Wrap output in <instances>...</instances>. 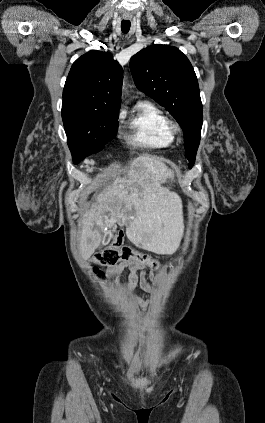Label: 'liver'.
<instances>
[{
    "label": "liver",
    "mask_w": 265,
    "mask_h": 423,
    "mask_svg": "<svg viewBox=\"0 0 265 423\" xmlns=\"http://www.w3.org/2000/svg\"><path fill=\"white\" fill-rule=\"evenodd\" d=\"M120 165L112 164L104 177L113 178L83 215L79 250L88 260L102 241L101 232L116 223L126 226L127 238L137 247L160 254H173L183 232L181 198L161 185L173 172L154 156L134 159L127 176L120 177ZM136 186L142 188L139 192ZM134 208L135 214L130 215Z\"/></svg>",
    "instance_id": "liver-1"
}]
</instances>
